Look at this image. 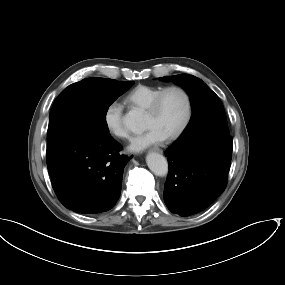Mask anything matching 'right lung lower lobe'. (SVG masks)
<instances>
[{"label":"right lung lower lobe","mask_w":285,"mask_h":285,"mask_svg":"<svg viewBox=\"0 0 285 285\" xmlns=\"http://www.w3.org/2000/svg\"><path fill=\"white\" fill-rule=\"evenodd\" d=\"M109 133L74 131L48 147L46 160L59 201L80 214L110 210L121 192L123 169L129 160Z\"/></svg>","instance_id":"obj_1"}]
</instances>
